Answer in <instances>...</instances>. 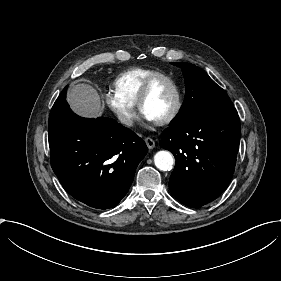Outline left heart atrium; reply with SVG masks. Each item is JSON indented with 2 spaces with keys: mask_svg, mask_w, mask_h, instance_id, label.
Instances as JSON below:
<instances>
[{
  "mask_svg": "<svg viewBox=\"0 0 281 281\" xmlns=\"http://www.w3.org/2000/svg\"><path fill=\"white\" fill-rule=\"evenodd\" d=\"M144 116V118L146 119V120H148V121H150V122H153L151 119H149L145 114L143 115Z\"/></svg>",
  "mask_w": 281,
  "mask_h": 281,
  "instance_id": "left-heart-atrium-1",
  "label": "left heart atrium"
}]
</instances>
